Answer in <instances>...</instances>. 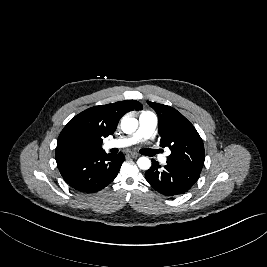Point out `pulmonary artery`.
I'll return each mask as SVG.
<instances>
[{"label":"pulmonary artery","mask_w":267,"mask_h":267,"mask_svg":"<svg viewBox=\"0 0 267 267\" xmlns=\"http://www.w3.org/2000/svg\"><path fill=\"white\" fill-rule=\"evenodd\" d=\"M157 117L152 112H143L139 117L138 130L127 137L107 141L105 149L124 148L136 144L137 142L149 139L157 127ZM166 156H161L160 161L166 163Z\"/></svg>","instance_id":"obj_1"}]
</instances>
